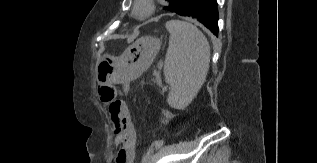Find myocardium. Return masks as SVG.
Returning a JSON list of instances; mask_svg holds the SVG:
<instances>
[{"label": "myocardium", "instance_id": "obj_1", "mask_svg": "<svg viewBox=\"0 0 317 163\" xmlns=\"http://www.w3.org/2000/svg\"><path fill=\"white\" fill-rule=\"evenodd\" d=\"M154 10V0H135L132 15L138 20H144L150 17Z\"/></svg>", "mask_w": 317, "mask_h": 163}]
</instances>
